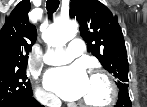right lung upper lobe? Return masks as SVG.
Wrapping results in <instances>:
<instances>
[{
	"label": "right lung upper lobe",
	"instance_id": "1",
	"mask_svg": "<svg viewBox=\"0 0 147 107\" xmlns=\"http://www.w3.org/2000/svg\"><path fill=\"white\" fill-rule=\"evenodd\" d=\"M30 1L22 0L6 18L0 30V73L27 66L28 54L36 42V27L29 22Z\"/></svg>",
	"mask_w": 147,
	"mask_h": 107
}]
</instances>
